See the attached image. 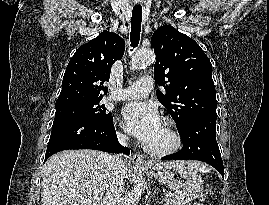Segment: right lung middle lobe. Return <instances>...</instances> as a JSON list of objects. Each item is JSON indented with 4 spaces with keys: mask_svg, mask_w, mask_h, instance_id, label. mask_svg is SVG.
<instances>
[{
    "mask_svg": "<svg viewBox=\"0 0 269 205\" xmlns=\"http://www.w3.org/2000/svg\"><path fill=\"white\" fill-rule=\"evenodd\" d=\"M100 100L69 104L55 107V119L65 117H82L99 122H108L112 120L110 113L104 105H99Z\"/></svg>",
    "mask_w": 269,
    "mask_h": 205,
    "instance_id": "right-lung-middle-lobe-1",
    "label": "right lung middle lobe"
}]
</instances>
